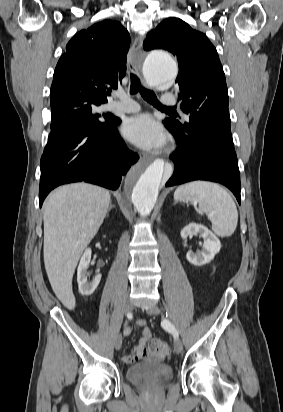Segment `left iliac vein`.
Here are the masks:
<instances>
[{
    "label": "left iliac vein",
    "instance_id": "1",
    "mask_svg": "<svg viewBox=\"0 0 283 412\" xmlns=\"http://www.w3.org/2000/svg\"><path fill=\"white\" fill-rule=\"evenodd\" d=\"M146 312L150 315H158L160 313V309L157 305H153L152 307L148 308ZM174 349L178 354H180L183 350L182 342L178 338H175L174 340Z\"/></svg>",
    "mask_w": 283,
    "mask_h": 412
}]
</instances>
